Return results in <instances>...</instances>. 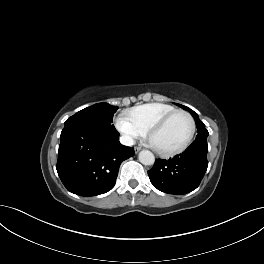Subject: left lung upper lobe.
<instances>
[{"label":"left lung upper lobe","mask_w":264,"mask_h":264,"mask_svg":"<svg viewBox=\"0 0 264 264\" xmlns=\"http://www.w3.org/2000/svg\"><path fill=\"white\" fill-rule=\"evenodd\" d=\"M178 106L182 107L183 109H188L190 110L191 114L195 118L196 126H197V136H196V141H207V137L209 135L207 129L205 128V124L198 118V115L191 109H189L186 106L177 104Z\"/></svg>","instance_id":"left-lung-upper-lobe-1"}]
</instances>
